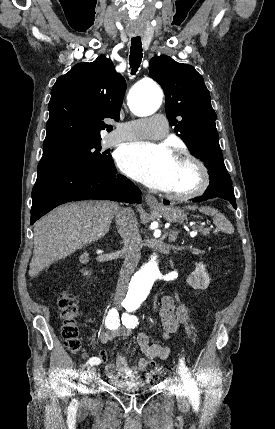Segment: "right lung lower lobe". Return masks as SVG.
Returning <instances> with one entry per match:
<instances>
[{"label":"right lung lower lobe","mask_w":275,"mask_h":429,"mask_svg":"<svg viewBox=\"0 0 275 429\" xmlns=\"http://www.w3.org/2000/svg\"><path fill=\"white\" fill-rule=\"evenodd\" d=\"M141 191L115 166L65 170L37 179L32 190L31 224L56 206L77 200L141 203Z\"/></svg>","instance_id":"obj_1"}]
</instances>
